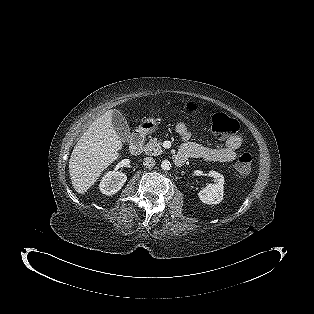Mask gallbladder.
I'll list each match as a JSON object with an SVG mask.
<instances>
[{"label": "gallbladder", "instance_id": "bac80fb5", "mask_svg": "<svg viewBox=\"0 0 314 314\" xmlns=\"http://www.w3.org/2000/svg\"><path fill=\"white\" fill-rule=\"evenodd\" d=\"M112 124L121 141L124 143H128L131 138V132L126 118L124 117V115H122L120 111L115 110L113 112Z\"/></svg>", "mask_w": 314, "mask_h": 314}]
</instances>
